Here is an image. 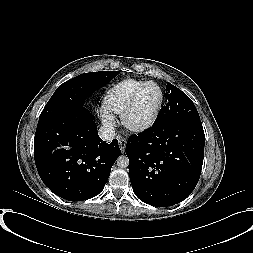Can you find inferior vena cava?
<instances>
[{
	"label": "inferior vena cava",
	"instance_id": "inferior-vena-cava-1",
	"mask_svg": "<svg viewBox=\"0 0 253 253\" xmlns=\"http://www.w3.org/2000/svg\"><path fill=\"white\" fill-rule=\"evenodd\" d=\"M98 135L103 141L110 142L115 137V129L112 126H101Z\"/></svg>",
	"mask_w": 253,
	"mask_h": 253
}]
</instances>
